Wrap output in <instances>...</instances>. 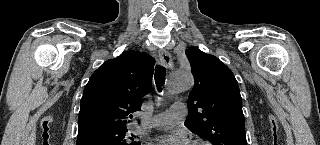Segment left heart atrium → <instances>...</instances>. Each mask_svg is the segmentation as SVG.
Listing matches in <instances>:
<instances>
[{"label":"left heart atrium","mask_w":320,"mask_h":145,"mask_svg":"<svg viewBox=\"0 0 320 145\" xmlns=\"http://www.w3.org/2000/svg\"><path fill=\"white\" fill-rule=\"evenodd\" d=\"M158 143L159 145H185L186 139L183 136L175 135L170 137H163L159 139Z\"/></svg>","instance_id":"39dd6f15"}]
</instances>
